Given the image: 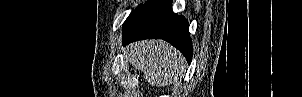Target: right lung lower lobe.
Wrapping results in <instances>:
<instances>
[{
    "label": "right lung lower lobe",
    "mask_w": 302,
    "mask_h": 97,
    "mask_svg": "<svg viewBox=\"0 0 302 97\" xmlns=\"http://www.w3.org/2000/svg\"><path fill=\"white\" fill-rule=\"evenodd\" d=\"M172 0H148L123 24V44L158 38L171 43L190 63L192 41L188 21L171 9Z\"/></svg>",
    "instance_id": "right-lung-lower-lobe-1"
}]
</instances>
